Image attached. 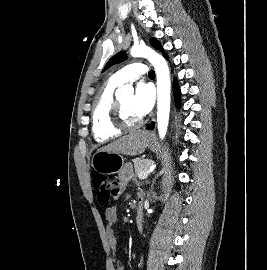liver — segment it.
<instances>
[{
  "label": "liver",
  "mask_w": 267,
  "mask_h": 270,
  "mask_svg": "<svg viewBox=\"0 0 267 270\" xmlns=\"http://www.w3.org/2000/svg\"><path fill=\"white\" fill-rule=\"evenodd\" d=\"M149 133L146 131H135L124 135L117 140L103 146L98 151L121 153L129 156L142 154L148 144Z\"/></svg>",
  "instance_id": "liver-1"
}]
</instances>
